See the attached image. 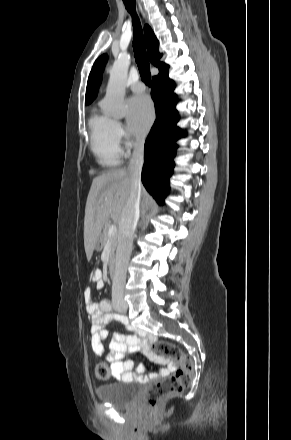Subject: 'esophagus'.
<instances>
[{"instance_id":"1","label":"esophagus","mask_w":291,"mask_h":440,"mask_svg":"<svg viewBox=\"0 0 291 440\" xmlns=\"http://www.w3.org/2000/svg\"><path fill=\"white\" fill-rule=\"evenodd\" d=\"M139 10H140V12L142 13V15L144 16L145 14H144L143 8L141 7L140 4H139Z\"/></svg>"}]
</instances>
